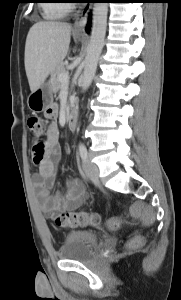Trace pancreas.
<instances>
[{
  "label": "pancreas",
  "instance_id": "1",
  "mask_svg": "<svg viewBox=\"0 0 181 300\" xmlns=\"http://www.w3.org/2000/svg\"><path fill=\"white\" fill-rule=\"evenodd\" d=\"M66 72H67V70H66L65 64L63 62H60L56 66V68L52 71L50 82H51L54 92H58L59 89L62 87L63 84L59 80V76Z\"/></svg>",
  "mask_w": 181,
  "mask_h": 300
}]
</instances>
